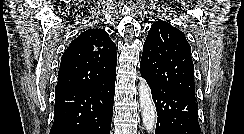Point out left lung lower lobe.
Returning <instances> with one entry per match:
<instances>
[{"label":"left lung lower lobe","instance_id":"left-lung-lower-lobe-1","mask_svg":"<svg viewBox=\"0 0 244 134\" xmlns=\"http://www.w3.org/2000/svg\"><path fill=\"white\" fill-rule=\"evenodd\" d=\"M152 92L157 109L155 134H200L195 93L152 85L141 70Z\"/></svg>","mask_w":244,"mask_h":134}]
</instances>
